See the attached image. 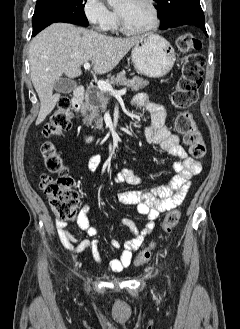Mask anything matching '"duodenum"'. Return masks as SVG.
<instances>
[{
    "label": "duodenum",
    "mask_w": 240,
    "mask_h": 329,
    "mask_svg": "<svg viewBox=\"0 0 240 329\" xmlns=\"http://www.w3.org/2000/svg\"><path fill=\"white\" fill-rule=\"evenodd\" d=\"M84 93H85V88L82 85L78 86L73 92L72 110H73L75 119L79 118V113H80V110H81V107L83 104Z\"/></svg>",
    "instance_id": "duodenum-1"
}]
</instances>
